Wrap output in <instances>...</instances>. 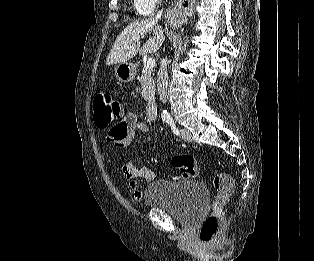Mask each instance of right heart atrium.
Instances as JSON below:
<instances>
[{"instance_id":"d8ad5b80","label":"right heart atrium","mask_w":314,"mask_h":261,"mask_svg":"<svg viewBox=\"0 0 314 261\" xmlns=\"http://www.w3.org/2000/svg\"><path fill=\"white\" fill-rule=\"evenodd\" d=\"M151 7L154 9L157 5H159L163 0H148Z\"/></svg>"}]
</instances>
